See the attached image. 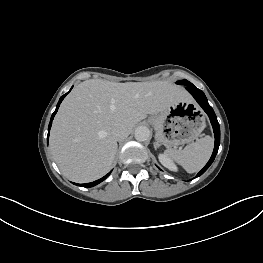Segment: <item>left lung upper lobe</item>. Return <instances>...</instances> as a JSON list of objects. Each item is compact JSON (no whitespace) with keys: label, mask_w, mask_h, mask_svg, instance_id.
Listing matches in <instances>:
<instances>
[{"label":"left lung upper lobe","mask_w":263,"mask_h":263,"mask_svg":"<svg viewBox=\"0 0 263 263\" xmlns=\"http://www.w3.org/2000/svg\"><path fill=\"white\" fill-rule=\"evenodd\" d=\"M177 84L186 85V86H191V85H192V83H190V82L187 81V80L178 81Z\"/></svg>","instance_id":"obj_1"}]
</instances>
